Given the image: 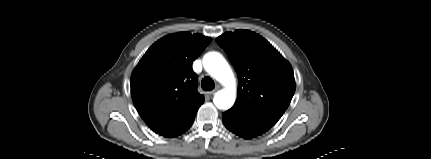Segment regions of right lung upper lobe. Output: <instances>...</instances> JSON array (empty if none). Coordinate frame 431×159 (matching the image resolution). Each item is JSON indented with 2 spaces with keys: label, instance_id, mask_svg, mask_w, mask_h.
<instances>
[{
  "label": "right lung upper lobe",
  "instance_id": "1",
  "mask_svg": "<svg viewBox=\"0 0 431 159\" xmlns=\"http://www.w3.org/2000/svg\"><path fill=\"white\" fill-rule=\"evenodd\" d=\"M210 42L201 34L167 35L147 50L133 70V103L154 132L176 137L194 121L204 96L197 91L192 62Z\"/></svg>",
  "mask_w": 431,
  "mask_h": 159
}]
</instances>
